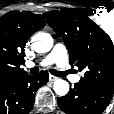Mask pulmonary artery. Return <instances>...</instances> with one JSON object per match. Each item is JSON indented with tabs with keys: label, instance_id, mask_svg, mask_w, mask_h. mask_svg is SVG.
<instances>
[{
	"label": "pulmonary artery",
	"instance_id": "1",
	"mask_svg": "<svg viewBox=\"0 0 114 114\" xmlns=\"http://www.w3.org/2000/svg\"><path fill=\"white\" fill-rule=\"evenodd\" d=\"M68 61V54L65 46L63 44H56L53 50L49 55H47L41 62L40 65L47 66L51 64H55L58 68L65 73L66 76L69 75L68 71H66V65ZM28 67L34 66L33 62L27 63ZM69 79L73 83H77L80 78L76 75H69Z\"/></svg>",
	"mask_w": 114,
	"mask_h": 114
}]
</instances>
